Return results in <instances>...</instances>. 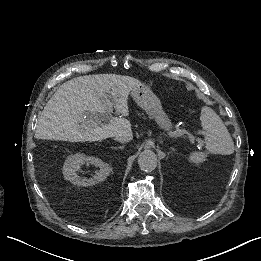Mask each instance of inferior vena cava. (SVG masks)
Instances as JSON below:
<instances>
[{
	"instance_id": "obj_1",
	"label": "inferior vena cava",
	"mask_w": 261,
	"mask_h": 261,
	"mask_svg": "<svg viewBox=\"0 0 261 261\" xmlns=\"http://www.w3.org/2000/svg\"><path fill=\"white\" fill-rule=\"evenodd\" d=\"M115 139L120 143H126L130 141L128 136H120V137H116Z\"/></svg>"
}]
</instances>
